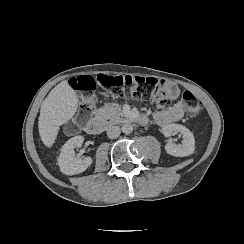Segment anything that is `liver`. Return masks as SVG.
Listing matches in <instances>:
<instances>
[{"mask_svg":"<svg viewBox=\"0 0 244 244\" xmlns=\"http://www.w3.org/2000/svg\"><path fill=\"white\" fill-rule=\"evenodd\" d=\"M78 98L67 81L55 86L40 108L38 129L42 142L51 147L57 137L59 126L70 120L77 111Z\"/></svg>","mask_w":244,"mask_h":244,"instance_id":"6515ba94","label":"liver"}]
</instances>
